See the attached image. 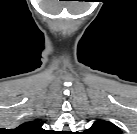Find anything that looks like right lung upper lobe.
<instances>
[{"label": "right lung upper lobe", "instance_id": "right-lung-upper-lobe-1", "mask_svg": "<svg viewBox=\"0 0 137 134\" xmlns=\"http://www.w3.org/2000/svg\"><path fill=\"white\" fill-rule=\"evenodd\" d=\"M43 123L44 121L35 119L21 124L15 130L20 134H46L47 132L42 128Z\"/></svg>", "mask_w": 137, "mask_h": 134}]
</instances>
